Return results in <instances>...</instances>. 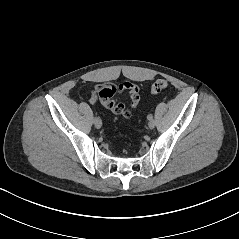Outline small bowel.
<instances>
[{
    "label": "small bowel",
    "mask_w": 239,
    "mask_h": 239,
    "mask_svg": "<svg viewBox=\"0 0 239 239\" xmlns=\"http://www.w3.org/2000/svg\"><path fill=\"white\" fill-rule=\"evenodd\" d=\"M123 92L128 95V104L120 102L115 98L117 94ZM91 100L93 102L99 101L114 114L121 115L125 118H131L141 102L139 87L130 82H125L117 88L113 85L101 86L92 94Z\"/></svg>",
    "instance_id": "obj_1"
}]
</instances>
